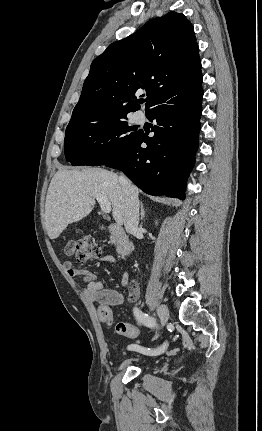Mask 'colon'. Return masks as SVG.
Wrapping results in <instances>:
<instances>
[{
  "mask_svg": "<svg viewBox=\"0 0 262 431\" xmlns=\"http://www.w3.org/2000/svg\"><path fill=\"white\" fill-rule=\"evenodd\" d=\"M101 250V246L90 237L71 239L64 248L65 254L68 256H75L78 262H90L95 260L100 256ZM99 316L103 322L108 324L113 322V319L106 314H99ZM116 331L118 334L130 338H136L138 336V330L134 326H129L124 323H118L116 325Z\"/></svg>",
  "mask_w": 262,
  "mask_h": 431,
  "instance_id": "1",
  "label": "colon"
}]
</instances>
